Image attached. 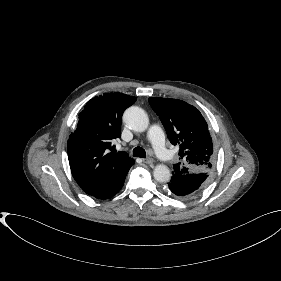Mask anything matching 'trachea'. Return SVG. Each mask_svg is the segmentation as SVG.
I'll use <instances>...</instances> for the list:
<instances>
[{
	"label": "trachea",
	"mask_w": 281,
	"mask_h": 281,
	"mask_svg": "<svg viewBox=\"0 0 281 281\" xmlns=\"http://www.w3.org/2000/svg\"><path fill=\"white\" fill-rule=\"evenodd\" d=\"M133 156L134 157H141L145 158L146 157V152L143 148L141 147H136L133 149Z\"/></svg>",
	"instance_id": "3493384b"
}]
</instances>
